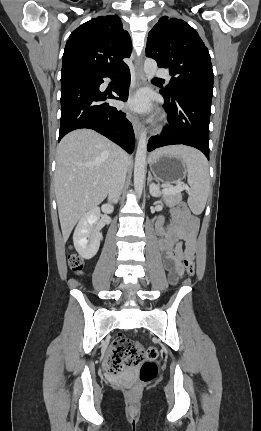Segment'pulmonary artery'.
<instances>
[{
    "label": "pulmonary artery",
    "mask_w": 261,
    "mask_h": 431,
    "mask_svg": "<svg viewBox=\"0 0 261 431\" xmlns=\"http://www.w3.org/2000/svg\"><path fill=\"white\" fill-rule=\"evenodd\" d=\"M156 75H157L159 78H163V79H167V80H169V79H170L169 73H168V71H167L166 69H158V70L156 71Z\"/></svg>",
    "instance_id": "e3ab8cb5"
}]
</instances>
